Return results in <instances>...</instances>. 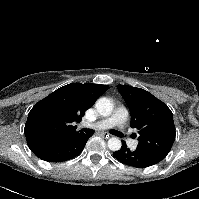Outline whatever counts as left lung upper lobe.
I'll use <instances>...</instances> for the list:
<instances>
[{
    "mask_svg": "<svg viewBox=\"0 0 199 199\" xmlns=\"http://www.w3.org/2000/svg\"><path fill=\"white\" fill-rule=\"evenodd\" d=\"M117 88L130 109L131 127L139 131L137 147L166 156L176 136L171 110L144 89L127 85Z\"/></svg>",
    "mask_w": 199,
    "mask_h": 199,
    "instance_id": "left-lung-upper-lobe-1",
    "label": "left lung upper lobe"
}]
</instances>
